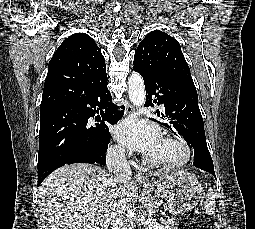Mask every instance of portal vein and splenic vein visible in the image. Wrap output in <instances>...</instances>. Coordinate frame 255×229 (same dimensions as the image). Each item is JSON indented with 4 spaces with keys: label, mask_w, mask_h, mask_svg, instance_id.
<instances>
[{
    "label": "portal vein and splenic vein",
    "mask_w": 255,
    "mask_h": 229,
    "mask_svg": "<svg viewBox=\"0 0 255 229\" xmlns=\"http://www.w3.org/2000/svg\"><path fill=\"white\" fill-rule=\"evenodd\" d=\"M163 221H164V220L162 219V220H161V223H163Z\"/></svg>",
    "instance_id": "portal-vein-and-splenic-vein-1"
}]
</instances>
